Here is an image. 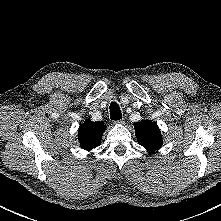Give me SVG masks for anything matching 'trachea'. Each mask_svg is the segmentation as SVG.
Returning <instances> with one entry per match:
<instances>
[{"label": "trachea", "mask_w": 221, "mask_h": 221, "mask_svg": "<svg viewBox=\"0 0 221 221\" xmlns=\"http://www.w3.org/2000/svg\"><path fill=\"white\" fill-rule=\"evenodd\" d=\"M110 118L112 120L122 119V113H121L120 107L116 102H112L110 104Z\"/></svg>", "instance_id": "obj_1"}]
</instances>
